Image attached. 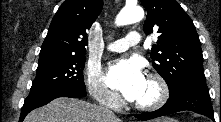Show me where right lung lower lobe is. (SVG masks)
<instances>
[{"label": "right lung lower lobe", "instance_id": "right-lung-lower-lobe-1", "mask_svg": "<svg viewBox=\"0 0 221 122\" xmlns=\"http://www.w3.org/2000/svg\"><path fill=\"white\" fill-rule=\"evenodd\" d=\"M86 91L72 87H55L47 90L30 92L26 98L21 110L19 122H22L25 116L35 108L46 105L50 101L58 97H85Z\"/></svg>", "mask_w": 221, "mask_h": 122}]
</instances>
